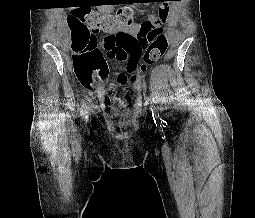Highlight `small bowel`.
<instances>
[{
	"label": "small bowel",
	"mask_w": 255,
	"mask_h": 218,
	"mask_svg": "<svg viewBox=\"0 0 255 218\" xmlns=\"http://www.w3.org/2000/svg\"><path fill=\"white\" fill-rule=\"evenodd\" d=\"M162 11L165 12L164 16H160V12H162ZM167 12H168V8L165 5H162V6L159 7L158 17H155L154 15L149 13L148 18L153 23L160 25L164 21V19L166 18ZM138 29H139V25H133V26H130V27H127V28H124V29H119L116 32L106 33L105 36L100 41V46L102 48H105L107 39L113 37L119 31H124V32L130 33V34H135Z\"/></svg>",
	"instance_id": "c3829d8e"
}]
</instances>
